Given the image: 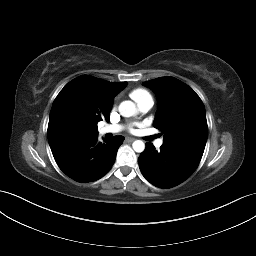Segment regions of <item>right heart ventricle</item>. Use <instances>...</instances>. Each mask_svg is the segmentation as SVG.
<instances>
[{
  "label": "right heart ventricle",
  "mask_w": 256,
  "mask_h": 256,
  "mask_svg": "<svg viewBox=\"0 0 256 256\" xmlns=\"http://www.w3.org/2000/svg\"><path fill=\"white\" fill-rule=\"evenodd\" d=\"M130 97L138 104L143 102L152 101L151 93L144 88H136L130 92Z\"/></svg>",
  "instance_id": "e07e8e85"
}]
</instances>
